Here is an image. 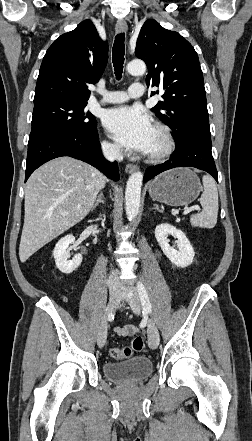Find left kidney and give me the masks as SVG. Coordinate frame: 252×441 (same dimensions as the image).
Wrapping results in <instances>:
<instances>
[{"label": "left kidney", "instance_id": "1", "mask_svg": "<svg viewBox=\"0 0 252 441\" xmlns=\"http://www.w3.org/2000/svg\"><path fill=\"white\" fill-rule=\"evenodd\" d=\"M168 235L177 238L178 250L170 246ZM155 237L163 253L176 266L184 268L193 262L194 249L181 230L176 229L170 224H160L155 228Z\"/></svg>", "mask_w": 252, "mask_h": 441}]
</instances>
